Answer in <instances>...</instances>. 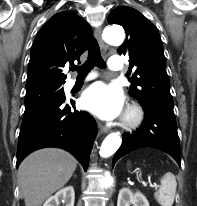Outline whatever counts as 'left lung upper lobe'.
I'll list each match as a JSON object with an SVG mask.
<instances>
[{"instance_id": "1", "label": "left lung upper lobe", "mask_w": 197, "mask_h": 206, "mask_svg": "<svg viewBox=\"0 0 197 206\" xmlns=\"http://www.w3.org/2000/svg\"><path fill=\"white\" fill-rule=\"evenodd\" d=\"M108 22L121 25L126 32V41L118 53L129 55V71H134L130 94L143 105L173 109L163 45L156 27L139 11L127 6L114 9Z\"/></svg>"}]
</instances>
